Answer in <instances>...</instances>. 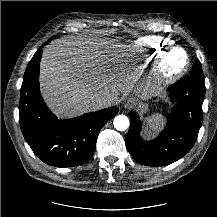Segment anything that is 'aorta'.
Segmentation results:
<instances>
[{
  "label": "aorta",
  "instance_id": "762f6f07",
  "mask_svg": "<svg viewBox=\"0 0 217 217\" xmlns=\"http://www.w3.org/2000/svg\"><path fill=\"white\" fill-rule=\"evenodd\" d=\"M114 127L119 131H124L129 127V119L125 115H118L114 119Z\"/></svg>",
  "mask_w": 217,
  "mask_h": 217
}]
</instances>
